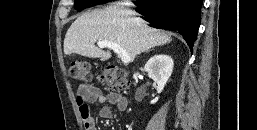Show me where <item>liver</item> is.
I'll return each instance as SVG.
<instances>
[{
    "label": "liver",
    "instance_id": "1",
    "mask_svg": "<svg viewBox=\"0 0 257 130\" xmlns=\"http://www.w3.org/2000/svg\"><path fill=\"white\" fill-rule=\"evenodd\" d=\"M135 15L130 10L116 7L82 14L65 35L64 53L105 61L111 58L110 51L96 47L95 42L109 41L123 48L133 61L138 54L172 41L169 34L149 27L146 21Z\"/></svg>",
    "mask_w": 257,
    "mask_h": 130
}]
</instances>
